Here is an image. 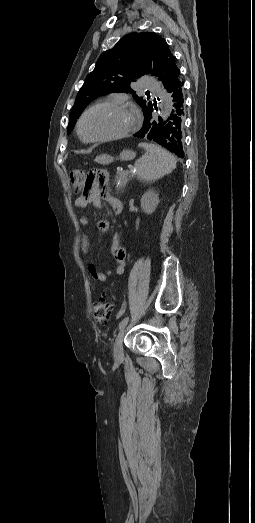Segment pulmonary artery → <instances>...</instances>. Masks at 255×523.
Instances as JSON below:
<instances>
[{
    "mask_svg": "<svg viewBox=\"0 0 255 523\" xmlns=\"http://www.w3.org/2000/svg\"><path fill=\"white\" fill-rule=\"evenodd\" d=\"M141 84L143 85V88L145 91H147V92L151 91L153 98H156L157 95H158V98H161V95H159L161 85L157 78H155V77L150 78L147 75H144L142 77Z\"/></svg>",
    "mask_w": 255,
    "mask_h": 523,
    "instance_id": "1",
    "label": "pulmonary artery"
}]
</instances>
